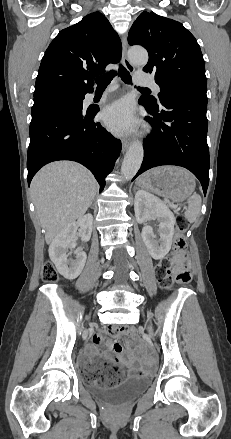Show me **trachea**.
I'll list each match as a JSON object with an SVG mask.
<instances>
[{
    "label": "trachea",
    "mask_w": 231,
    "mask_h": 439,
    "mask_svg": "<svg viewBox=\"0 0 231 439\" xmlns=\"http://www.w3.org/2000/svg\"><path fill=\"white\" fill-rule=\"evenodd\" d=\"M118 74L126 84L132 83L130 73L121 65L119 67ZM115 75H116V71L112 70L102 76L97 77L95 79L97 87H106L108 84H110L111 80L114 78ZM141 89L149 91L148 88H141Z\"/></svg>",
    "instance_id": "3493384b"
}]
</instances>
